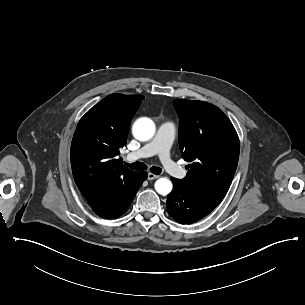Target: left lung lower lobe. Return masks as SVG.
Returning <instances> with one entry per match:
<instances>
[{
    "label": "left lung lower lobe",
    "instance_id": "0a47b994",
    "mask_svg": "<svg viewBox=\"0 0 305 305\" xmlns=\"http://www.w3.org/2000/svg\"><path fill=\"white\" fill-rule=\"evenodd\" d=\"M174 188L167 196V210L177 222L192 224L211 213L222 197L189 189L180 179L171 178Z\"/></svg>",
    "mask_w": 305,
    "mask_h": 305
}]
</instances>
